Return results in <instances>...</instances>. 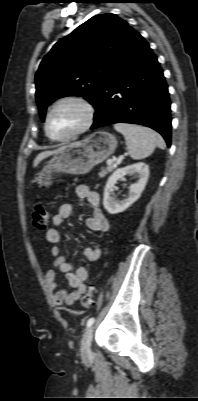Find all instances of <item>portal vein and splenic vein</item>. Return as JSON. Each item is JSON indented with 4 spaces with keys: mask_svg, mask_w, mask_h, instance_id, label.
Returning a JSON list of instances; mask_svg holds the SVG:
<instances>
[{
    "mask_svg": "<svg viewBox=\"0 0 198 401\" xmlns=\"http://www.w3.org/2000/svg\"><path fill=\"white\" fill-rule=\"evenodd\" d=\"M122 158H123V157L117 159V160H116V164L120 163V161H121ZM111 163H113V160H111V159L107 160V164H111Z\"/></svg>",
    "mask_w": 198,
    "mask_h": 401,
    "instance_id": "1",
    "label": "portal vein and splenic vein"
}]
</instances>
